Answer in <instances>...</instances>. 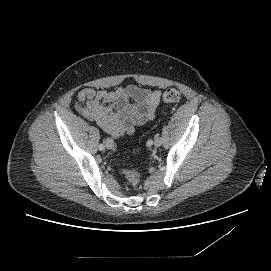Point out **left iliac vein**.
Returning a JSON list of instances; mask_svg holds the SVG:
<instances>
[{
    "mask_svg": "<svg viewBox=\"0 0 271 271\" xmlns=\"http://www.w3.org/2000/svg\"><path fill=\"white\" fill-rule=\"evenodd\" d=\"M161 144H162V138L161 137H156L155 138V141H154V146L155 147H159V146H161Z\"/></svg>",
    "mask_w": 271,
    "mask_h": 271,
    "instance_id": "1",
    "label": "left iliac vein"
}]
</instances>
